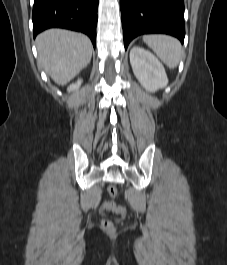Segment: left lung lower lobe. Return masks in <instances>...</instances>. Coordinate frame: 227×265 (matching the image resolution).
<instances>
[{
    "mask_svg": "<svg viewBox=\"0 0 227 265\" xmlns=\"http://www.w3.org/2000/svg\"><path fill=\"white\" fill-rule=\"evenodd\" d=\"M124 46L141 34L185 37L183 0H120Z\"/></svg>",
    "mask_w": 227,
    "mask_h": 265,
    "instance_id": "obj_1",
    "label": "left lung lower lobe"
}]
</instances>
